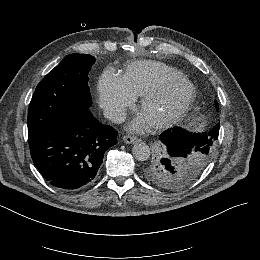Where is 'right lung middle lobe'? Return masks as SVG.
Returning a JSON list of instances; mask_svg holds the SVG:
<instances>
[{
	"instance_id": "dd1d6c3e",
	"label": "right lung middle lobe",
	"mask_w": 260,
	"mask_h": 260,
	"mask_svg": "<svg viewBox=\"0 0 260 260\" xmlns=\"http://www.w3.org/2000/svg\"><path fill=\"white\" fill-rule=\"evenodd\" d=\"M95 58L70 54L38 84L28 110V137L70 118L92 105L88 73Z\"/></svg>"
}]
</instances>
